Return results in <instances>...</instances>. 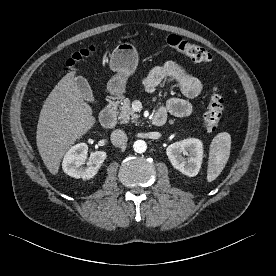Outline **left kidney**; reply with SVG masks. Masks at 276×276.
I'll return each mask as SVG.
<instances>
[{
    "instance_id": "left-kidney-1",
    "label": "left kidney",
    "mask_w": 276,
    "mask_h": 276,
    "mask_svg": "<svg viewBox=\"0 0 276 276\" xmlns=\"http://www.w3.org/2000/svg\"><path fill=\"white\" fill-rule=\"evenodd\" d=\"M166 154L175 169L184 175L194 177L201 167L203 144L196 138L184 139L169 145Z\"/></svg>"
}]
</instances>
